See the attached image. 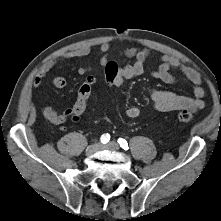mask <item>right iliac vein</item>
<instances>
[{
  "label": "right iliac vein",
  "mask_w": 221,
  "mask_h": 221,
  "mask_svg": "<svg viewBox=\"0 0 221 221\" xmlns=\"http://www.w3.org/2000/svg\"><path fill=\"white\" fill-rule=\"evenodd\" d=\"M100 147H101V145L99 143H94L86 149V154L88 156L93 155L94 153H96L100 149Z\"/></svg>",
  "instance_id": "obj_1"
}]
</instances>
